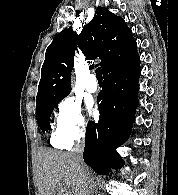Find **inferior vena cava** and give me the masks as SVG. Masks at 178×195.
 Here are the masks:
<instances>
[{
    "label": "inferior vena cava",
    "instance_id": "602c4592",
    "mask_svg": "<svg viewBox=\"0 0 178 195\" xmlns=\"http://www.w3.org/2000/svg\"><path fill=\"white\" fill-rule=\"evenodd\" d=\"M84 145H85L84 137L82 136L80 138H77L75 141V145L72 149V155L76 161L78 170L81 172L83 176H86L89 179V194L96 195V185L82 157Z\"/></svg>",
    "mask_w": 178,
    "mask_h": 195
}]
</instances>
